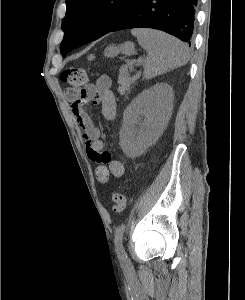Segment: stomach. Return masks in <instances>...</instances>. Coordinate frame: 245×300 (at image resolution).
<instances>
[{
  "instance_id": "stomach-1",
  "label": "stomach",
  "mask_w": 245,
  "mask_h": 300,
  "mask_svg": "<svg viewBox=\"0 0 245 300\" xmlns=\"http://www.w3.org/2000/svg\"><path fill=\"white\" fill-rule=\"evenodd\" d=\"M119 53L125 55H133L135 53L134 43L128 41L120 46H109L104 51V55L106 57H114L117 56Z\"/></svg>"
}]
</instances>
